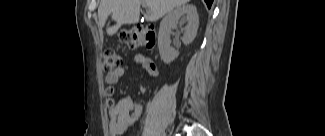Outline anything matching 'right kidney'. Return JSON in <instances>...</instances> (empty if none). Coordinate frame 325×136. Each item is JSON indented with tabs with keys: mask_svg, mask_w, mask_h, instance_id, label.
Instances as JSON below:
<instances>
[{
	"mask_svg": "<svg viewBox=\"0 0 325 136\" xmlns=\"http://www.w3.org/2000/svg\"><path fill=\"white\" fill-rule=\"evenodd\" d=\"M181 18V24H185L182 41L185 45L193 42L197 34L199 17L197 9L192 4H184L168 13L161 21L158 35V48L161 59L169 64L178 57L179 52L171 47L170 33L175 24H178Z\"/></svg>",
	"mask_w": 325,
	"mask_h": 136,
	"instance_id": "right-kidney-1",
	"label": "right kidney"
}]
</instances>
